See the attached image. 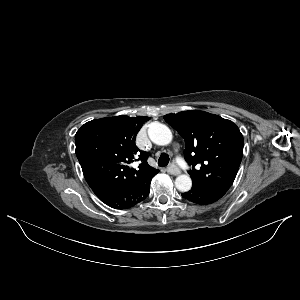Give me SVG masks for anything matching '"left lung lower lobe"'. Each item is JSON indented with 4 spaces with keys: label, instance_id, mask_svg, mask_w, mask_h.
Returning a JSON list of instances; mask_svg holds the SVG:
<instances>
[{
    "label": "left lung lower lobe",
    "instance_id": "obj_1",
    "mask_svg": "<svg viewBox=\"0 0 300 300\" xmlns=\"http://www.w3.org/2000/svg\"><path fill=\"white\" fill-rule=\"evenodd\" d=\"M225 193L226 192L224 191L193 185L191 190L186 193H182V196L191 202L207 205L219 200L225 195Z\"/></svg>",
    "mask_w": 300,
    "mask_h": 300
}]
</instances>
